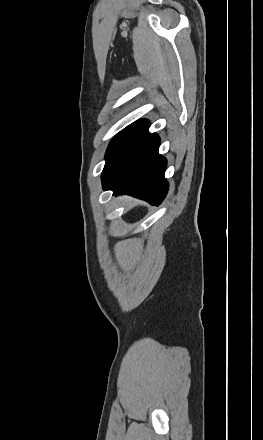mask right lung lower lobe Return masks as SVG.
<instances>
[{
	"instance_id": "right-lung-lower-lobe-1",
	"label": "right lung lower lobe",
	"mask_w": 263,
	"mask_h": 440,
	"mask_svg": "<svg viewBox=\"0 0 263 440\" xmlns=\"http://www.w3.org/2000/svg\"><path fill=\"white\" fill-rule=\"evenodd\" d=\"M159 145V137L147 132L112 174L102 180L103 189L159 205L168 191L164 178L167 162L158 153Z\"/></svg>"
}]
</instances>
